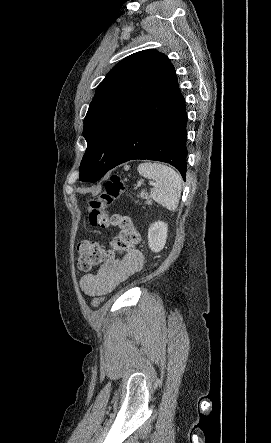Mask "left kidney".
<instances>
[{
    "label": "left kidney",
    "mask_w": 271,
    "mask_h": 443,
    "mask_svg": "<svg viewBox=\"0 0 271 443\" xmlns=\"http://www.w3.org/2000/svg\"><path fill=\"white\" fill-rule=\"evenodd\" d=\"M167 223L155 222L148 229V245L152 251H161L166 243Z\"/></svg>",
    "instance_id": "1"
}]
</instances>
